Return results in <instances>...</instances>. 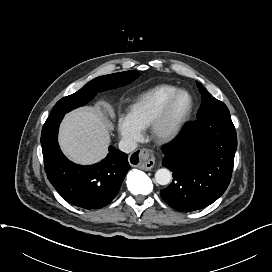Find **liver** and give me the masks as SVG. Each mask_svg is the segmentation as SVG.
<instances>
[{"label": "liver", "instance_id": "liver-1", "mask_svg": "<svg viewBox=\"0 0 272 272\" xmlns=\"http://www.w3.org/2000/svg\"><path fill=\"white\" fill-rule=\"evenodd\" d=\"M113 112L101 107H84L66 114L60 126L59 143L72 161L89 165L103 159L110 143Z\"/></svg>", "mask_w": 272, "mask_h": 272}]
</instances>
